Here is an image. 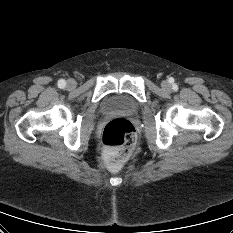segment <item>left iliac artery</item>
<instances>
[{
	"mask_svg": "<svg viewBox=\"0 0 233 233\" xmlns=\"http://www.w3.org/2000/svg\"><path fill=\"white\" fill-rule=\"evenodd\" d=\"M173 89H174V90H177V89H178L177 85L174 84V85H173Z\"/></svg>",
	"mask_w": 233,
	"mask_h": 233,
	"instance_id": "1",
	"label": "left iliac artery"
}]
</instances>
